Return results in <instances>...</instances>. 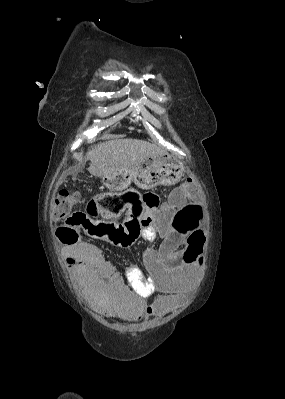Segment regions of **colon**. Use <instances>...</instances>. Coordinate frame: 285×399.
<instances>
[{"label":"colon","mask_w":285,"mask_h":399,"mask_svg":"<svg viewBox=\"0 0 285 399\" xmlns=\"http://www.w3.org/2000/svg\"><path fill=\"white\" fill-rule=\"evenodd\" d=\"M183 192H192L196 188L194 181L184 182L180 187ZM128 192L106 194L100 197V203L104 207H111L117 205L119 208L124 206ZM159 204L158 198L155 195H149L141 199L133 201V212L126 214L122 223L112 227L105 233L108 240L121 244L124 247L133 245L138 238L143 235L144 230L148 227L149 220L145 207H155ZM77 206V197L75 193L67 188H61L55 196L52 213L56 220H65V228L60 227V238L64 243H77L80 241L81 235L78 231L80 226H91V223L86 219L85 213L81 211H73ZM188 217L185 211H180L176 214L177 220H184ZM65 229L68 237H63L61 232ZM162 257L166 261L167 267L178 266L183 258L180 250L177 248H168L162 251ZM100 287V286H99Z\"/></svg>","instance_id":"5ec220e1"}]
</instances>
